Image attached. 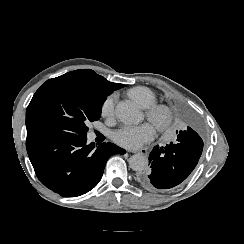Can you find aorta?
<instances>
[{
  "instance_id": "762f6f07",
  "label": "aorta",
  "mask_w": 244,
  "mask_h": 244,
  "mask_svg": "<svg viewBox=\"0 0 244 244\" xmlns=\"http://www.w3.org/2000/svg\"><path fill=\"white\" fill-rule=\"evenodd\" d=\"M116 117L124 124H137L142 120V113L137 106L129 101H120L115 108ZM130 168L134 171H143L147 166V159L141 154L129 158Z\"/></svg>"
}]
</instances>
